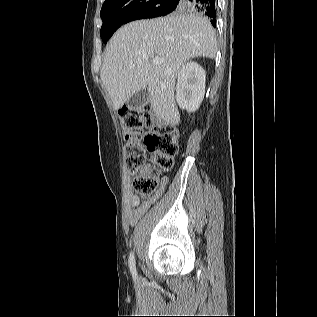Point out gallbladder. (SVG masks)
Wrapping results in <instances>:
<instances>
[{"label": "gallbladder", "instance_id": "bac80fb5", "mask_svg": "<svg viewBox=\"0 0 317 317\" xmlns=\"http://www.w3.org/2000/svg\"><path fill=\"white\" fill-rule=\"evenodd\" d=\"M150 100V94L147 88L136 92L128 101L127 105L131 109L142 108Z\"/></svg>", "mask_w": 317, "mask_h": 317}]
</instances>
